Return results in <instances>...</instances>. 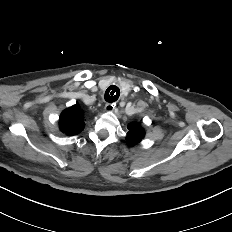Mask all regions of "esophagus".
<instances>
[{"label":"esophagus","mask_w":232,"mask_h":232,"mask_svg":"<svg viewBox=\"0 0 232 232\" xmlns=\"http://www.w3.org/2000/svg\"><path fill=\"white\" fill-rule=\"evenodd\" d=\"M115 109V104L114 103H107L106 105H105V110L106 111H113Z\"/></svg>","instance_id":"obj_1"}]
</instances>
